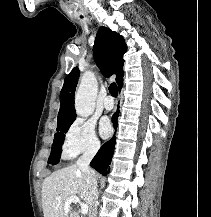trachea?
<instances>
[{"mask_svg":"<svg viewBox=\"0 0 211 217\" xmlns=\"http://www.w3.org/2000/svg\"><path fill=\"white\" fill-rule=\"evenodd\" d=\"M109 92L110 94L113 96V97H117L118 95V90H117V86L115 83H112L110 86H109Z\"/></svg>","mask_w":211,"mask_h":217,"instance_id":"3493384b","label":"trachea"}]
</instances>
